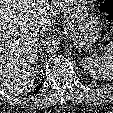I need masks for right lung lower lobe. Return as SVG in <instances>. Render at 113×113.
I'll use <instances>...</instances> for the list:
<instances>
[{"mask_svg":"<svg viewBox=\"0 0 113 113\" xmlns=\"http://www.w3.org/2000/svg\"><path fill=\"white\" fill-rule=\"evenodd\" d=\"M41 86H42V83L36 88V90H34V92L33 93H36V92H38V90L41 88Z\"/></svg>","mask_w":113,"mask_h":113,"instance_id":"right-lung-lower-lobe-1","label":"right lung lower lobe"}]
</instances>
